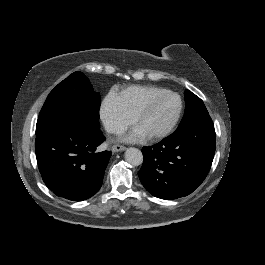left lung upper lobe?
Masks as SVG:
<instances>
[{
	"label": "left lung upper lobe",
	"mask_w": 265,
	"mask_h": 265,
	"mask_svg": "<svg viewBox=\"0 0 265 265\" xmlns=\"http://www.w3.org/2000/svg\"><path fill=\"white\" fill-rule=\"evenodd\" d=\"M186 109L182 121L179 126L196 121L200 118L209 116V113L203 101L193 94L191 91L186 90L184 93Z\"/></svg>",
	"instance_id": "5c2ea615"
}]
</instances>
